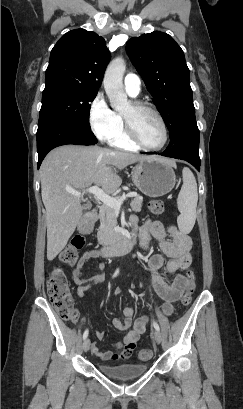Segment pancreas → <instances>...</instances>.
Here are the masks:
<instances>
[{
	"label": "pancreas",
	"instance_id": "obj_1",
	"mask_svg": "<svg viewBox=\"0 0 243 409\" xmlns=\"http://www.w3.org/2000/svg\"><path fill=\"white\" fill-rule=\"evenodd\" d=\"M119 198V197H117ZM143 198L136 195L131 201V209L140 212ZM100 226L98 228L97 239L100 244H109L115 240L114 228L117 226L116 210L103 204L99 211Z\"/></svg>",
	"mask_w": 243,
	"mask_h": 409
}]
</instances>
